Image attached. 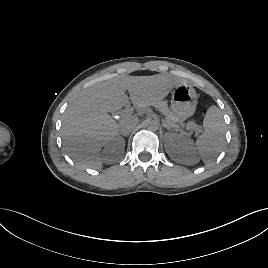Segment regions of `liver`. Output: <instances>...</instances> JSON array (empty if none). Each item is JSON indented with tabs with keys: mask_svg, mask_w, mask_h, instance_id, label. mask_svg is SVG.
<instances>
[{
	"mask_svg": "<svg viewBox=\"0 0 268 268\" xmlns=\"http://www.w3.org/2000/svg\"><path fill=\"white\" fill-rule=\"evenodd\" d=\"M184 83L166 74L120 75L83 89L63 116L61 136L69 156L82 167L101 168L102 147L119 133V124L108 113L123 108L129 99L138 109L157 106Z\"/></svg>",
	"mask_w": 268,
	"mask_h": 268,
	"instance_id": "liver-1",
	"label": "liver"
}]
</instances>
